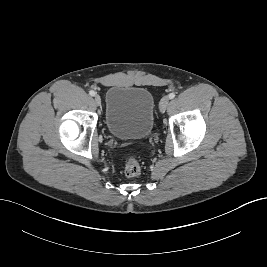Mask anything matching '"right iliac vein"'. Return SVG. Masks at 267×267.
<instances>
[{"label":"right iliac vein","mask_w":267,"mask_h":267,"mask_svg":"<svg viewBox=\"0 0 267 267\" xmlns=\"http://www.w3.org/2000/svg\"><path fill=\"white\" fill-rule=\"evenodd\" d=\"M95 103L99 106L101 104V98L99 95H95L94 97Z\"/></svg>","instance_id":"1"}]
</instances>
